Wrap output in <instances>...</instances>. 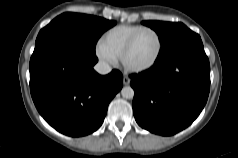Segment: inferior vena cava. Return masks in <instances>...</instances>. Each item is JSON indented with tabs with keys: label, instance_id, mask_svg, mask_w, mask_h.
I'll return each mask as SVG.
<instances>
[{
	"label": "inferior vena cava",
	"instance_id": "1",
	"mask_svg": "<svg viewBox=\"0 0 238 158\" xmlns=\"http://www.w3.org/2000/svg\"><path fill=\"white\" fill-rule=\"evenodd\" d=\"M94 69L99 74L105 75L111 72V67L108 63L104 61H99L95 66Z\"/></svg>",
	"mask_w": 238,
	"mask_h": 158
}]
</instances>
